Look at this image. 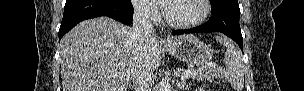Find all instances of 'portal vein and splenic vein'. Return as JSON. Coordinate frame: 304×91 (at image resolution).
I'll list each match as a JSON object with an SVG mask.
<instances>
[{
  "label": "portal vein and splenic vein",
  "instance_id": "18ae733b",
  "mask_svg": "<svg viewBox=\"0 0 304 91\" xmlns=\"http://www.w3.org/2000/svg\"><path fill=\"white\" fill-rule=\"evenodd\" d=\"M216 64L215 63H210L202 68H198V69H192V70H186L181 74V79L184 80L186 78H188L190 75L195 74L197 72H202L203 70H205L206 68H216Z\"/></svg>",
  "mask_w": 304,
  "mask_h": 91
}]
</instances>
